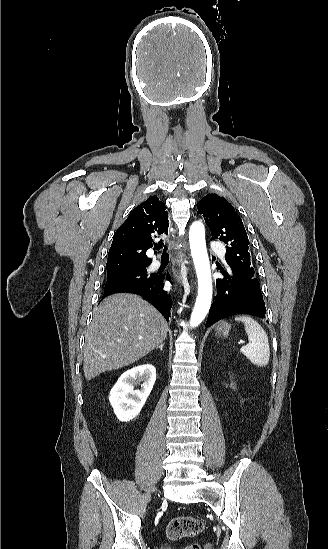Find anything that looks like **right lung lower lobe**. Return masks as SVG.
<instances>
[{"mask_svg":"<svg viewBox=\"0 0 328 549\" xmlns=\"http://www.w3.org/2000/svg\"><path fill=\"white\" fill-rule=\"evenodd\" d=\"M170 280V274L155 273V276L145 284H131L109 292H104V297L118 292H129L143 296L148 302L161 312L168 321L171 308V296L163 289L164 281ZM102 298V299H103Z\"/></svg>","mask_w":328,"mask_h":549,"instance_id":"obj_1","label":"right lung lower lobe"}]
</instances>
